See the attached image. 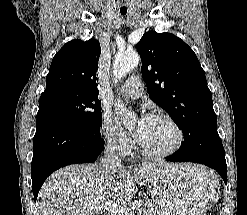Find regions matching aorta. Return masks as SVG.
I'll list each match as a JSON object with an SVG mask.
<instances>
[{
    "label": "aorta",
    "mask_w": 247,
    "mask_h": 215,
    "mask_svg": "<svg viewBox=\"0 0 247 215\" xmlns=\"http://www.w3.org/2000/svg\"><path fill=\"white\" fill-rule=\"evenodd\" d=\"M140 57L137 53L135 52H124V53H119L114 61V66H113V74L115 77V81L118 79L120 80L126 74L136 67L139 64ZM118 109L126 113V109L124 108L123 105H119ZM128 118V114L125 115L124 124H126Z\"/></svg>",
    "instance_id": "obj_1"
}]
</instances>
